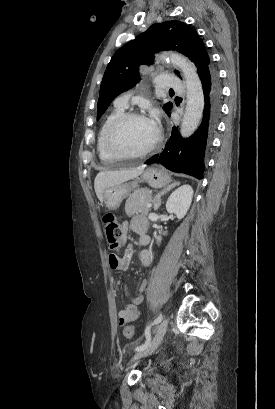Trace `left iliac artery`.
<instances>
[{
  "label": "left iliac artery",
  "instance_id": "obj_1",
  "mask_svg": "<svg viewBox=\"0 0 275 409\" xmlns=\"http://www.w3.org/2000/svg\"><path fill=\"white\" fill-rule=\"evenodd\" d=\"M162 319H163L162 313H159V315L157 316V318H156L150 325H148V326L146 327V329H145L146 341H145V343H143V344H141V345H139L138 347L135 348V350H136L137 352H138V351H141V350H144L145 348H147V347L149 346V344H150V342H151L150 329H151V327H152L153 325L159 324V323L162 321Z\"/></svg>",
  "mask_w": 275,
  "mask_h": 409
}]
</instances>
